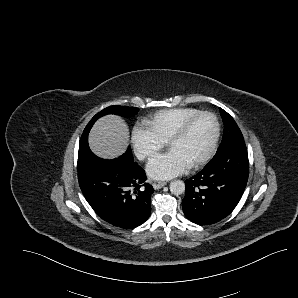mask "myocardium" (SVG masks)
Masks as SVG:
<instances>
[{"mask_svg": "<svg viewBox=\"0 0 298 298\" xmlns=\"http://www.w3.org/2000/svg\"><path fill=\"white\" fill-rule=\"evenodd\" d=\"M201 117H208L211 120L213 132H212V136H211V139L208 143L206 150L204 151V153L201 156H199L194 162H192L189 165V168H194V167L200 165L201 163L206 161L209 158V156L211 155L213 148L215 146L217 137H218V132H219L218 122H217L216 118L210 112L200 111L199 113L181 121L176 126V128L169 133V135L165 139L166 147L169 148L171 143L176 138H178L192 123H194L197 119H199Z\"/></svg>", "mask_w": 298, "mask_h": 298, "instance_id": "obj_1", "label": "myocardium"}]
</instances>
